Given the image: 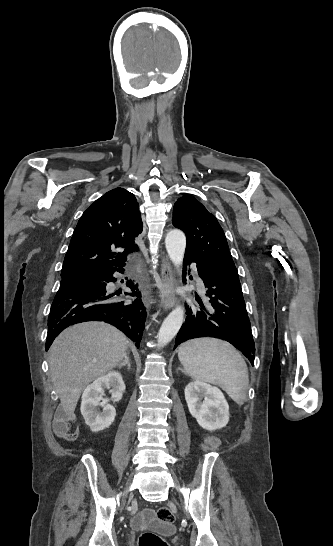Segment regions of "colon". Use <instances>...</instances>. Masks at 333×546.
Instances as JSON below:
<instances>
[{
	"label": "colon",
	"mask_w": 333,
	"mask_h": 546,
	"mask_svg": "<svg viewBox=\"0 0 333 546\" xmlns=\"http://www.w3.org/2000/svg\"><path fill=\"white\" fill-rule=\"evenodd\" d=\"M157 519L163 524H172L175 516L170 508L161 507L157 510ZM139 546H167V543L155 533L144 532L139 537Z\"/></svg>",
	"instance_id": "5ec220e1"
}]
</instances>
